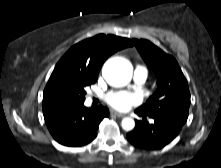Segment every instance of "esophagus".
Instances as JSON below:
<instances>
[{
    "mask_svg": "<svg viewBox=\"0 0 221 168\" xmlns=\"http://www.w3.org/2000/svg\"><path fill=\"white\" fill-rule=\"evenodd\" d=\"M111 115L116 116V117H119V118L125 117L124 114L118 113V112H116V111H111Z\"/></svg>",
    "mask_w": 221,
    "mask_h": 168,
    "instance_id": "obj_1",
    "label": "esophagus"
}]
</instances>
